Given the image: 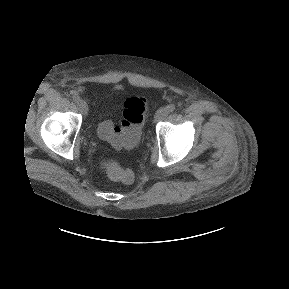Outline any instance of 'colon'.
Returning a JSON list of instances; mask_svg holds the SVG:
<instances>
[{"label": "colon", "instance_id": "obj_1", "mask_svg": "<svg viewBox=\"0 0 289 289\" xmlns=\"http://www.w3.org/2000/svg\"><path fill=\"white\" fill-rule=\"evenodd\" d=\"M147 109L145 98L134 96L124 102L122 121L119 126H113L110 122H103L99 126V134L102 138L114 145L124 146L127 149L134 148L139 142V135ZM102 168L106 175L114 180L130 183L133 173L129 169H123L113 159L103 162Z\"/></svg>", "mask_w": 289, "mask_h": 289}]
</instances>
